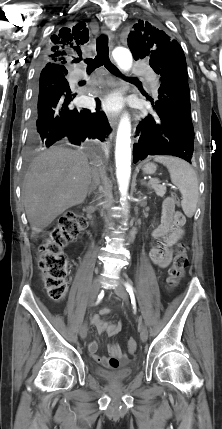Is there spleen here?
Masks as SVG:
<instances>
[{
  "label": "spleen",
  "instance_id": "3e777b00",
  "mask_svg": "<svg viewBox=\"0 0 222 429\" xmlns=\"http://www.w3.org/2000/svg\"><path fill=\"white\" fill-rule=\"evenodd\" d=\"M154 161L167 167L172 183L182 194V209L191 218L199 198L198 179L194 169L184 160L172 156H155Z\"/></svg>",
  "mask_w": 222,
  "mask_h": 429
}]
</instances>
